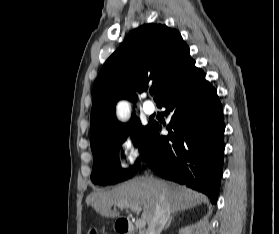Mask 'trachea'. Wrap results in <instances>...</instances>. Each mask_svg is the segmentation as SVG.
I'll use <instances>...</instances> for the list:
<instances>
[{"label":"trachea","mask_w":279,"mask_h":234,"mask_svg":"<svg viewBox=\"0 0 279 234\" xmlns=\"http://www.w3.org/2000/svg\"><path fill=\"white\" fill-rule=\"evenodd\" d=\"M154 89H150V94L153 95L154 94Z\"/></svg>","instance_id":"1"}]
</instances>
